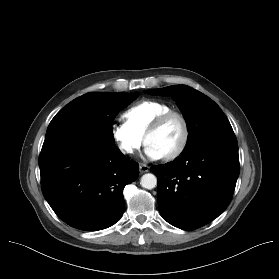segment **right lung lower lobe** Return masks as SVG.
<instances>
[{
	"label": "right lung lower lobe",
	"instance_id": "98d812e1",
	"mask_svg": "<svg viewBox=\"0 0 279 279\" xmlns=\"http://www.w3.org/2000/svg\"><path fill=\"white\" fill-rule=\"evenodd\" d=\"M43 195L56 215L80 230H102L124 211V187L137 179L138 163L117 146L80 134L44 141L39 156Z\"/></svg>",
	"mask_w": 279,
	"mask_h": 279
}]
</instances>
